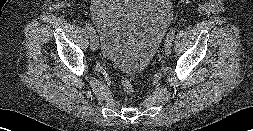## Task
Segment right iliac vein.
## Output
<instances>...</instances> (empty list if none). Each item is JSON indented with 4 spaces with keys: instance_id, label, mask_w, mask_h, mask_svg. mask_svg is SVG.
Masks as SVG:
<instances>
[{
    "instance_id": "1",
    "label": "right iliac vein",
    "mask_w": 253,
    "mask_h": 131,
    "mask_svg": "<svg viewBox=\"0 0 253 131\" xmlns=\"http://www.w3.org/2000/svg\"><path fill=\"white\" fill-rule=\"evenodd\" d=\"M90 38H91V49L92 51H96L98 48V41L96 34L93 32L92 34H90Z\"/></svg>"
}]
</instances>
